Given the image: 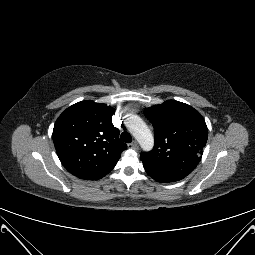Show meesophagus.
<instances>
[{"label": "esophagus", "mask_w": 255, "mask_h": 255, "mask_svg": "<svg viewBox=\"0 0 255 255\" xmlns=\"http://www.w3.org/2000/svg\"><path fill=\"white\" fill-rule=\"evenodd\" d=\"M127 146H128L129 149H134V150L138 149V143L136 141H133L132 143H129Z\"/></svg>", "instance_id": "34e87169"}]
</instances>
